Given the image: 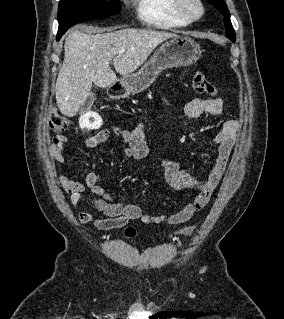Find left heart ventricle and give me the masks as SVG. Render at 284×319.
<instances>
[{"instance_id":"left-heart-ventricle-1","label":"left heart ventricle","mask_w":284,"mask_h":319,"mask_svg":"<svg viewBox=\"0 0 284 319\" xmlns=\"http://www.w3.org/2000/svg\"><path fill=\"white\" fill-rule=\"evenodd\" d=\"M189 10H190L191 13H193V14H197V13L199 12L198 6H197L196 4H194V3H191V4L189 5Z\"/></svg>"}]
</instances>
